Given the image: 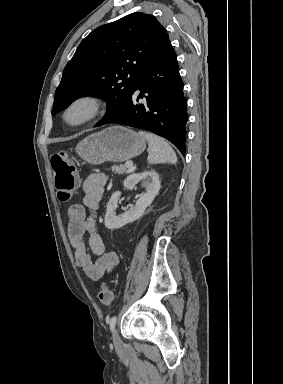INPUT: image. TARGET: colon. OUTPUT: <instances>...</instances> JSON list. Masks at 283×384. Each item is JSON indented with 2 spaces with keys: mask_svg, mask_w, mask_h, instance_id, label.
<instances>
[{
  "mask_svg": "<svg viewBox=\"0 0 283 384\" xmlns=\"http://www.w3.org/2000/svg\"><path fill=\"white\" fill-rule=\"evenodd\" d=\"M51 166L58 197L62 201H67L71 198L77 185L76 168L69 156L63 151L55 152L52 155ZM98 299L104 306L112 304L113 294L107 285L100 287Z\"/></svg>",
  "mask_w": 283,
  "mask_h": 384,
  "instance_id": "obj_1",
  "label": "colon"
}]
</instances>
